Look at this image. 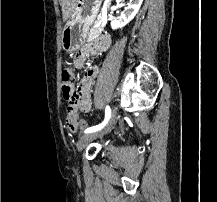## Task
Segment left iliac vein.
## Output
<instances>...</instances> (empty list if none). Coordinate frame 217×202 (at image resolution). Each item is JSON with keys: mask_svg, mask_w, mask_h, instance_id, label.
Listing matches in <instances>:
<instances>
[{"mask_svg": "<svg viewBox=\"0 0 217 202\" xmlns=\"http://www.w3.org/2000/svg\"><path fill=\"white\" fill-rule=\"evenodd\" d=\"M116 117H117V109L114 106L111 112L110 119L108 120L107 124L99 131L81 136L77 142V150L81 152L89 142H91L95 138L102 137L103 135L108 133L111 130L112 126L114 125L116 121Z\"/></svg>", "mask_w": 217, "mask_h": 202, "instance_id": "1", "label": "left iliac vein"}]
</instances>
